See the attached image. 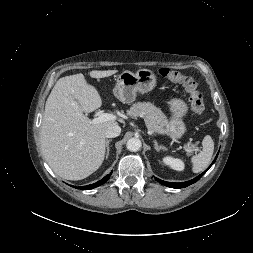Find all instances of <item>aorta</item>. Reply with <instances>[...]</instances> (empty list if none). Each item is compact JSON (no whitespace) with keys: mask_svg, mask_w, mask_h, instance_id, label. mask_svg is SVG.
I'll list each match as a JSON object with an SVG mask.
<instances>
[{"mask_svg":"<svg viewBox=\"0 0 253 253\" xmlns=\"http://www.w3.org/2000/svg\"><path fill=\"white\" fill-rule=\"evenodd\" d=\"M127 149L131 152H137L140 150L142 143L138 138H131L127 141Z\"/></svg>","mask_w":253,"mask_h":253,"instance_id":"1","label":"aorta"}]
</instances>
